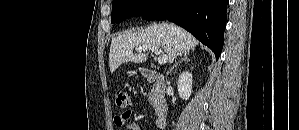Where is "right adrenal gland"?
Returning <instances> with one entry per match:
<instances>
[{
  "instance_id": "2a0ac1e0",
  "label": "right adrenal gland",
  "mask_w": 299,
  "mask_h": 130,
  "mask_svg": "<svg viewBox=\"0 0 299 130\" xmlns=\"http://www.w3.org/2000/svg\"><path fill=\"white\" fill-rule=\"evenodd\" d=\"M183 61H184V62H189V61H190L189 58H188V54H187V53H184V55H183V57L181 58V61H180V62H183ZM180 62L176 63V64L169 70L168 74L171 73L172 70H173L175 67H177L178 64H179Z\"/></svg>"
}]
</instances>
